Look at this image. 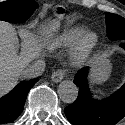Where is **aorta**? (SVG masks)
<instances>
[{
  "instance_id": "762f6f07",
  "label": "aorta",
  "mask_w": 125,
  "mask_h": 125,
  "mask_svg": "<svg viewBox=\"0 0 125 125\" xmlns=\"http://www.w3.org/2000/svg\"><path fill=\"white\" fill-rule=\"evenodd\" d=\"M60 99L65 103H73L78 96V87L71 81H63L58 86Z\"/></svg>"
}]
</instances>
